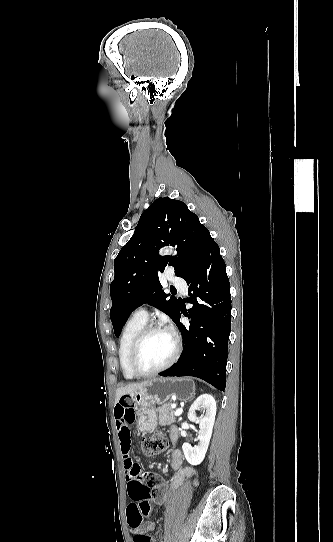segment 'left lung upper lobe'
I'll use <instances>...</instances> for the list:
<instances>
[{
	"instance_id": "left-lung-upper-lobe-1",
	"label": "left lung upper lobe",
	"mask_w": 333,
	"mask_h": 542,
	"mask_svg": "<svg viewBox=\"0 0 333 542\" xmlns=\"http://www.w3.org/2000/svg\"><path fill=\"white\" fill-rule=\"evenodd\" d=\"M210 239L208 229L182 201L160 197L143 212L135 233L114 260L110 318L116 337L129 315L144 303L176 322L180 303L164 293L159 272L172 266L177 276L186 279L199 265ZM169 244L177 245L178 256H159L158 250Z\"/></svg>"
}]
</instances>
